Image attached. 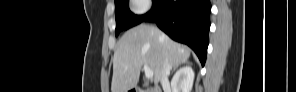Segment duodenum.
I'll list each match as a JSON object with an SVG mask.
<instances>
[{
  "instance_id": "duodenum-1",
  "label": "duodenum",
  "mask_w": 296,
  "mask_h": 92,
  "mask_svg": "<svg viewBox=\"0 0 296 92\" xmlns=\"http://www.w3.org/2000/svg\"><path fill=\"white\" fill-rule=\"evenodd\" d=\"M130 92H154L150 89H143V88H140V87H135V88H132L130 90Z\"/></svg>"
}]
</instances>
